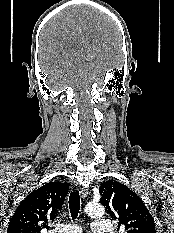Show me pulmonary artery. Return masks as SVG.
I'll return each instance as SVG.
<instances>
[{
  "instance_id": "obj_1",
  "label": "pulmonary artery",
  "mask_w": 174,
  "mask_h": 233,
  "mask_svg": "<svg viewBox=\"0 0 174 233\" xmlns=\"http://www.w3.org/2000/svg\"><path fill=\"white\" fill-rule=\"evenodd\" d=\"M92 231L93 233H112V225L107 220L97 219L92 223ZM49 233H81V228L74 224H62Z\"/></svg>"
}]
</instances>
